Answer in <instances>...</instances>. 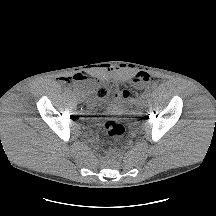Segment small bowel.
Instances as JSON below:
<instances>
[{"label": "small bowel", "instance_id": "1", "mask_svg": "<svg viewBox=\"0 0 216 216\" xmlns=\"http://www.w3.org/2000/svg\"><path fill=\"white\" fill-rule=\"evenodd\" d=\"M137 80L139 81V79L140 80H143V75L141 74V75H138L137 77ZM63 80L64 81H66V82H74V83H84L87 87H90V84L88 83V82H86L87 81V77L84 75V74H82V73H75V74H73L71 77H69V78H63ZM119 94L122 96V97H124V98H128L129 97V92H128V90H126V89H121L120 91H119Z\"/></svg>", "mask_w": 216, "mask_h": 216}]
</instances>
